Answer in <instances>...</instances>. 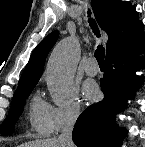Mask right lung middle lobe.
<instances>
[{
	"label": "right lung middle lobe",
	"instance_id": "obj_1",
	"mask_svg": "<svg viewBox=\"0 0 145 147\" xmlns=\"http://www.w3.org/2000/svg\"><path fill=\"white\" fill-rule=\"evenodd\" d=\"M34 87L35 86H30L15 91L9 114L7 115L0 129V133L2 135H9L12 133L14 125L18 120V117L23 112L25 99L28 98L30 92L33 90Z\"/></svg>",
	"mask_w": 145,
	"mask_h": 147
}]
</instances>
